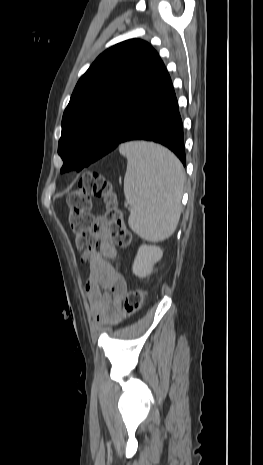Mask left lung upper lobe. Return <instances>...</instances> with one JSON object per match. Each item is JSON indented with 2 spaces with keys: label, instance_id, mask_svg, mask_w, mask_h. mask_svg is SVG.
<instances>
[{
  "label": "left lung upper lobe",
  "instance_id": "obj_1",
  "mask_svg": "<svg viewBox=\"0 0 263 465\" xmlns=\"http://www.w3.org/2000/svg\"><path fill=\"white\" fill-rule=\"evenodd\" d=\"M153 47L127 40L103 52L79 79L62 118L58 154L89 160L113 128L119 109L131 102L154 63Z\"/></svg>",
  "mask_w": 263,
  "mask_h": 465
}]
</instances>
